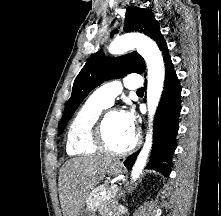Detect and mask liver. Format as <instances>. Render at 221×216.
I'll use <instances>...</instances> for the list:
<instances>
[{
  "label": "liver",
  "instance_id": "6515ba94",
  "mask_svg": "<svg viewBox=\"0 0 221 216\" xmlns=\"http://www.w3.org/2000/svg\"><path fill=\"white\" fill-rule=\"evenodd\" d=\"M112 159L92 156L70 159L60 170L59 198L64 216H79L90 191L105 177Z\"/></svg>",
  "mask_w": 221,
  "mask_h": 216
}]
</instances>
